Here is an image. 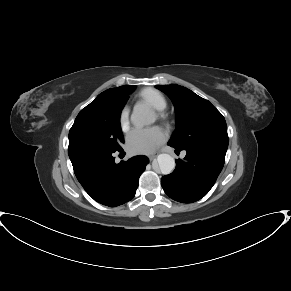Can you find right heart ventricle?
I'll return each instance as SVG.
<instances>
[{"label": "right heart ventricle", "instance_id": "right-heart-ventricle-1", "mask_svg": "<svg viewBox=\"0 0 291 291\" xmlns=\"http://www.w3.org/2000/svg\"><path fill=\"white\" fill-rule=\"evenodd\" d=\"M140 98L148 102L154 109L163 110L166 107V101L163 95L152 88H145L140 92Z\"/></svg>", "mask_w": 291, "mask_h": 291}]
</instances>
